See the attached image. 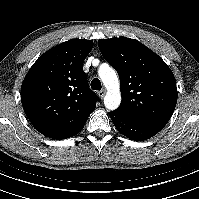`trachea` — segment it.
I'll list each match as a JSON object with an SVG mask.
<instances>
[{
  "mask_svg": "<svg viewBox=\"0 0 199 199\" xmlns=\"http://www.w3.org/2000/svg\"><path fill=\"white\" fill-rule=\"evenodd\" d=\"M91 88L93 90H101L102 88V85H101V82L98 78H94L92 81H91Z\"/></svg>",
  "mask_w": 199,
  "mask_h": 199,
  "instance_id": "obj_1",
  "label": "trachea"
}]
</instances>
